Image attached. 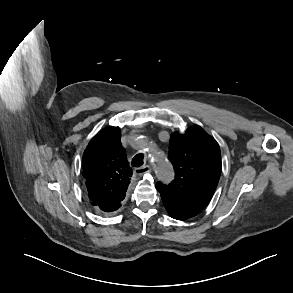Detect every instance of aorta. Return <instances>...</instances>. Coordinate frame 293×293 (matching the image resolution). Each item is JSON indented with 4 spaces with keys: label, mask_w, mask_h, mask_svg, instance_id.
Masks as SVG:
<instances>
[{
    "label": "aorta",
    "mask_w": 293,
    "mask_h": 293,
    "mask_svg": "<svg viewBox=\"0 0 293 293\" xmlns=\"http://www.w3.org/2000/svg\"><path fill=\"white\" fill-rule=\"evenodd\" d=\"M147 149L148 158L157 178L164 182L171 181L173 178V169L166 155L162 151L155 150L151 147H148Z\"/></svg>",
    "instance_id": "1"
}]
</instances>
